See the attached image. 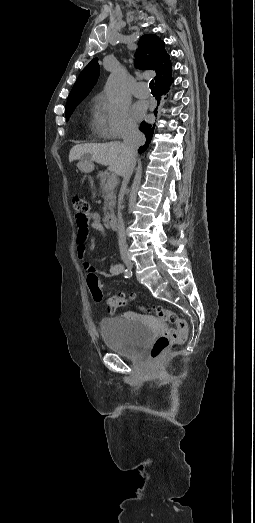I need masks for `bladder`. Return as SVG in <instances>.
<instances>
[{
    "mask_svg": "<svg viewBox=\"0 0 255 523\" xmlns=\"http://www.w3.org/2000/svg\"><path fill=\"white\" fill-rule=\"evenodd\" d=\"M134 321L130 327H126L122 321L102 319L100 332L105 345L123 355L138 354L149 341L152 329L141 320Z\"/></svg>",
    "mask_w": 255,
    "mask_h": 523,
    "instance_id": "1",
    "label": "bladder"
}]
</instances>
